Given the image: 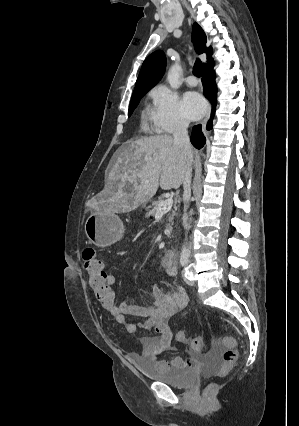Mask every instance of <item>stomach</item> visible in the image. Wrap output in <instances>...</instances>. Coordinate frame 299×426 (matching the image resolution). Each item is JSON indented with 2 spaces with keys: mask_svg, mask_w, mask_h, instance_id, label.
Instances as JSON below:
<instances>
[{
  "mask_svg": "<svg viewBox=\"0 0 299 426\" xmlns=\"http://www.w3.org/2000/svg\"><path fill=\"white\" fill-rule=\"evenodd\" d=\"M85 233L90 242L98 247H109L123 237L124 225L120 217L108 209L90 214L85 222Z\"/></svg>",
  "mask_w": 299,
  "mask_h": 426,
  "instance_id": "stomach-1",
  "label": "stomach"
}]
</instances>
